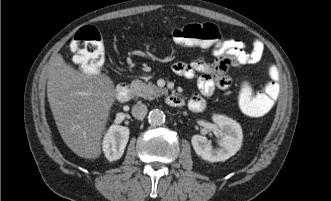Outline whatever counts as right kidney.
Segmentation results:
<instances>
[{
  "label": "right kidney",
  "instance_id": "ca27d5eb",
  "mask_svg": "<svg viewBox=\"0 0 331 201\" xmlns=\"http://www.w3.org/2000/svg\"><path fill=\"white\" fill-rule=\"evenodd\" d=\"M129 139V129L120 125H112L103 140V151L109 161L118 160L124 153Z\"/></svg>",
  "mask_w": 331,
  "mask_h": 201
}]
</instances>
